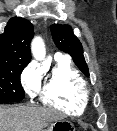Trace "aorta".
Segmentation results:
<instances>
[{"label":"aorta","instance_id":"1","mask_svg":"<svg viewBox=\"0 0 117 131\" xmlns=\"http://www.w3.org/2000/svg\"><path fill=\"white\" fill-rule=\"evenodd\" d=\"M31 52H32L33 57L38 61H41L45 58L46 49H45V44L43 42V39L41 37H35L32 40Z\"/></svg>","mask_w":117,"mask_h":131}]
</instances>
